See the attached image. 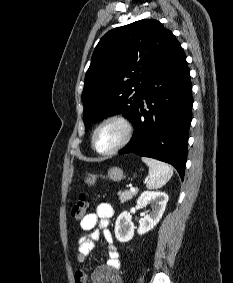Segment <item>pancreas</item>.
I'll return each instance as SVG.
<instances>
[{
    "label": "pancreas",
    "mask_w": 233,
    "mask_h": 283,
    "mask_svg": "<svg viewBox=\"0 0 233 283\" xmlns=\"http://www.w3.org/2000/svg\"><path fill=\"white\" fill-rule=\"evenodd\" d=\"M136 194H137L136 191L132 192V191H129V190H125L124 192H121V191L118 192V196L120 198L121 203H124V202L132 199L133 196H135Z\"/></svg>",
    "instance_id": "1"
}]
</instances>
